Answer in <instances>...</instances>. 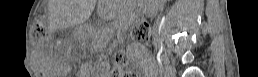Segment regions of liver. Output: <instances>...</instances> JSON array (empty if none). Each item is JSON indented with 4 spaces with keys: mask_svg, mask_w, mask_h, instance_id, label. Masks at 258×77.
I'll use <instances>...</instances> for the list:
<instances>
[{
    "mask_svg": "<svg viewBox=\"0 0 258 77\" xmlns=\"http://www.w3.org/2000/svg\"><path fill=\"white\" fill-rule=\"evenodd\" d=\"M63 18L67 24H75L76 22V3L74 0L68 2V6L63 12Z\"/></svg>",
    "mask_w": 258,
    "mask_h": 77,
    "instance_id": "6515ba94",
    "label": "liver"
}]
</instances>
